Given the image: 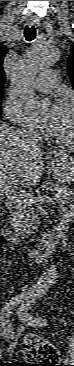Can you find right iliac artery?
<instances>
[{"mask_svg":"<svg viewBox=\"0 0 74 366\" xmlns=\"http://www.w3.org/2000/svg\"><path fill=\"white\" fill-rule=\"evenodd\" d=\"M28 297L25 295L15 296L8 303H6L5 307L2 309L1 313V327L4 334L9 335L10 337L14 336L13 328L9 321V315L12 309L19 303L26 302Z\"/></svg>","mask_w":74,"mask_h":366,"instance_id":"1","label":"right iliac artery"}]
</instances>
